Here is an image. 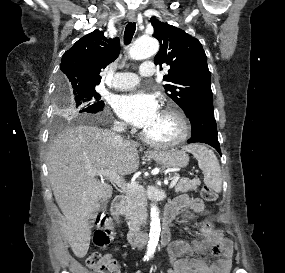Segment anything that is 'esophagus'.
I'll return each mask as SVG.
<instances>
[{
    "label": "esophagus",
    "instance_id": "34e87169",
    "mask_svg": "<svg viewBox=\"0 0 285 273\" xmlns=\"http://www.w3.org/2000/svg\"><path fill=\"white\" fill-rule=\"evenodd\" d=\"M128 19H129V21L134 22V21L136 20V14H135V12L130 11V12L128 13ZM150 152L153 153L154 151L151 150Z\"/></svg>",
    "mask_w": 285,
    "mask_h": 273
}]
</instances>
